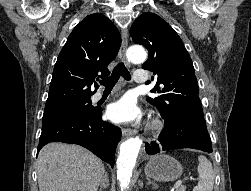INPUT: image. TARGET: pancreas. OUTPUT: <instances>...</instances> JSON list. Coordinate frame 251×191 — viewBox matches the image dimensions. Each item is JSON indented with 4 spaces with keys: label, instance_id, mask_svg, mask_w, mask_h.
<instances>
[{
    "label": "pancreas",
    "instance_id": "1",
    "mask_svg": "<svg viewBox=\"0 0 251 191\" xmlns=\"http://www.w3.org/2000/svg\"><path fill=\"white\" fill-rule=\"evenodd\" d=\"M175 191H185V187H178V189H175Z\"/></svg>",
    "mask_w": 251,
    "mask_h": 191
}]
</instances>
